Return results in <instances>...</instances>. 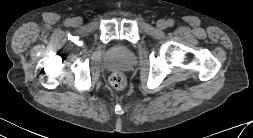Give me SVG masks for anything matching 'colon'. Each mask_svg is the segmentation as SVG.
Returning a JSON list of instances; mask_svg holds the SVG:
<instances>
[{
	"label": "colon",
	"instance_id": "5ec220e1",
	"mask_svg": "<svg viewBox=\"0 0 253 138\" xmlns=\"http://www.w3.org/2000/svg\"><path fill=\"white\" fill-rule=\"evenodd\" d=\"M109 82L111 86L116 90H122L126 86V78L120 72H115L111 75Z\"/></svg>",
	"mask_w": 253,
	"mask_h": 138
}]
</instances>
